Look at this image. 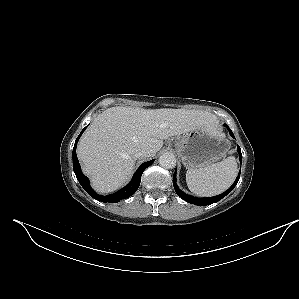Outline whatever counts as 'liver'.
Listing matches in <instances>:
<instances>
[{
	"instance_id": "1",
	"label": "liver",
	"mask_w": 299,
	"mask_h": 299,
	"mask_svg": "<svg viewBox=\"0 0 299 299\" xmlns=\"http://www.w3.org/2000/svg\"><path fill=\"white\" fill-rule=\"evenodd\" d=\"M216 124L217 117L207 111L116 106L92 121L78 144L77 155L92 187L109 193L129 179L135 154L141 149L150 150L152 157L164 139Z\"/></svg>"
}]
</instances>
